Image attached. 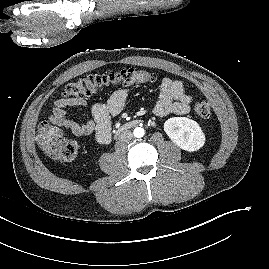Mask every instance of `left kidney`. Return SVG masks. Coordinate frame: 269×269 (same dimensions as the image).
Returning <instances> with one entry per match:
<instances>
[{
	"label": "left kidney",
	"mask_w": 269,
	"mask_h": 269,
	"mask_svg": "<svg viewBox=\"0 0 269 269\" xmlns=\"http://www.w3.org/2000/svg\"><path fill=\"white\" fill-rule=\"evenodd\" d=\"M164 131L181 149L193 152L205 144V135L199 124L187 117H172L165 121Z\"/></svg>",
	"instance_id": "1"
}]
</instances>
